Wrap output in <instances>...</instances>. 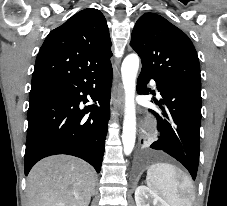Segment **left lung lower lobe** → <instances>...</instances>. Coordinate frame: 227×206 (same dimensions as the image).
Listing matches in <instances>:
<instances>
[{
    "mask_svg": "<svg viewBox=\"0 0 227 206\" xmlns=\"http://www.w3.org/2000/svg\"><path fill=\"white\" fill-rule=\"evenodd\" d=\"M154 79L163 99L155 103L162 113L157 119L159 139L150 148L162 150L180 161L196 178L200 153L201 87L141 70L137 91L148 94L146 84ZM154 92V91H153Z\"/></svg>",
    "mask_w": 227,
    "mask_h": 206,
    "instance_id": "left-lung-lower-lobe-1",
    "label": "left lung lower lobe"
}]
</instances>
